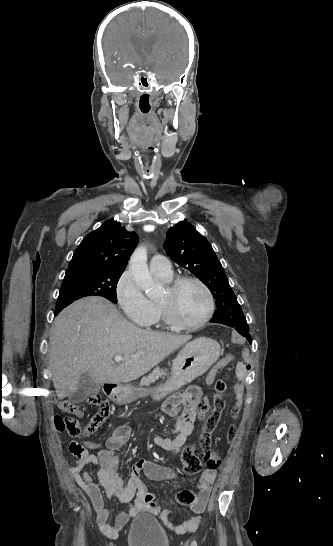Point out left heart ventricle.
Segmentation results:
<instances>
[{
  "label": "left heart ventricle",
  "instance_id": "left-heart-ventricle-1",
  "mask_svg": "<svg viewBox=\"0 0 333 546\" xmlns=\"http://www.w3.org/2000/svg\"><path fill=\"white\" fill-rule=\"evenodd\" d=\"M160 302L168 303L175 316L189 324L200 320L207 308L205 293L194 283L181 285L174 294L166 289Z\"/></svg>",
  "mask_w": 333,
  "mask_h": 546
}]
</instances>
